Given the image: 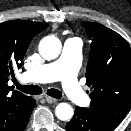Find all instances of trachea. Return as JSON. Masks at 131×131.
I'll return each instance as SVG.
<instances>
[{
	"instance_id": "obj_1",
	"label": "trachea",
	"mask_w": 131,
	"mask_h": 131,
	"mask_svg": "<svg viewBox=\"0 0 131 131\" xmlns=\"http://www.w3.org/2000/svg\"><path fill=\"white\" fill-rule=\"evenodd\" d=\"M15 85L18 90L31 95H39L42 93V88L37 85H21L17 81ZM47 94L53 98L60 99L62 97V92L57 89H48Z\"/></svg>"
}]
</instances>
